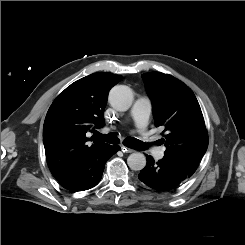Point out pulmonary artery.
<instances>
[{
  "mask_svg": "<svg viewBox=\"0 0 245 245\" xmlns=\"http://www.w3.org/2000/svg\"><path fill=\"white\" fill-rule=\"evenodd\" d=\"M151 115V103L147 97L138 98L131 110L130 116L133 119L137 131L145 139L148 148L157 159H162L165 154V148L154 145L153 139L148 134V123Z\"/></svg>",
  "mask_w": 245,
  "mask_h": 245,
  "instance_id": "pulmonary-artery-1",
  "label": "pulmonary artery"
}]
</instances>
